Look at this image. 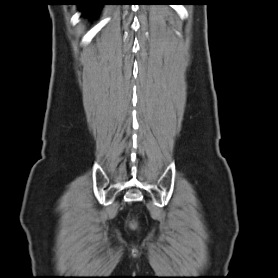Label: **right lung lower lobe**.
Listing matches in <instances>:
<instances>
[{
	"label": "right lung lower lobe",
	"mask_w": 278,
	"mask_h": 278,
	"mask_svg": "<svg viewBox=\"0 0 278 278\" xmlns=\"http://www.w3.org/2000/svg\"><path fill=\"white\" fill-rule=\"evenodd\" d=\"M82 2L78 5L81 6L85 11L91 10L93 7H98L102 5L101 2H98V0H81Z\"/></svg>",
	"instance_id": "98d812e1"
}]
</instances>
